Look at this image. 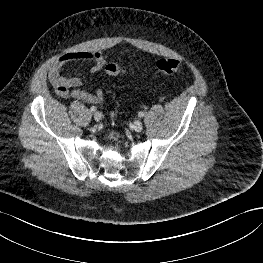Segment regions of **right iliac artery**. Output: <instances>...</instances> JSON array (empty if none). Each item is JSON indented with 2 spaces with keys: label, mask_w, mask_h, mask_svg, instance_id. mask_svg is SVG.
Here are the masks:
<instances>
[{
  "label": "right iliac artery",
  "mask_w": 263,
  "mask_h": 263,
  "mask_svg": "<svg viewBox=\"0 0 263 263\" xmlns=\"http://www.w3.org/2000/svg\"><path fill=\"white\" fill-rule=\"evenodd\" d=\"M90 110H91L92 112H95V111L97 110V108H96L95 106H92V107L90 108Z\"/></svg>",
  "instance_id": "obj_1"
}]
</instances>
